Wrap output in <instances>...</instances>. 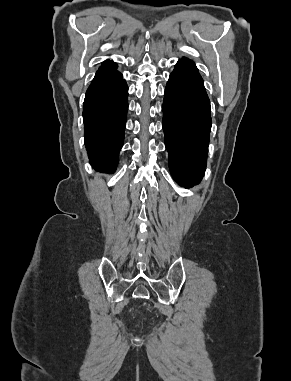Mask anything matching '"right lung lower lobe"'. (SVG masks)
<instances>
[{
	"label": "right lung lower lobe",
	"instance_id": "98d812e1",
	"mask_svg": "<svg viewBox=\"0 0 291 381\" xmlns=\"http://www.w3.org/2000/svg\"><path fill=\"white\" fill-rule=\"evenodd\" d=\"M128 87L110 60L102 63L87 89L84 108V136L91 165L113 172L123 146L128 109Z\"/></svg>",
	"mask_w": 291,
	"mask_h": 381
}]
</instances>
